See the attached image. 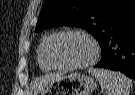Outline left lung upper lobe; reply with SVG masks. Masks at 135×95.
I'll list each match as a JSON object with an SVG mask.
<instances>
[{
  "instance_id": "1",
  "label": "left lung upper lobe",
  "mask_w": 135,
  "mask_h": 95,
  "mask_svg": "<svg viewBox=\"0 0 135 95\" xmlns=\"http://www.w3.org/2000/svg\"><path fill=\"white\" fill-rule=\"evenodd\" d=\"M135 16V0H46L35 32L75 26L91 33L100 46L118 27Z\"/></svg>"
}]
</instances>
